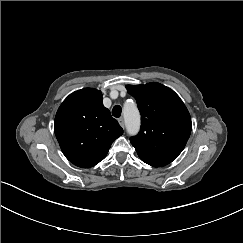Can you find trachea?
<instances>
[{
	"mask_svg": "<svg viewBox=\"0 0 243 243\" xmlns=\"http://www.w3.org/2000/svg\"><path fill=\"white\" fill-rule=\"evenodd\" d=\"M121 106L119 105H116L114 106V108L112 109V115L116 118L120 117L121 116Z\"/></svg>",
	"mask_w": 243,
	"mask_h": 243,
	"instance_id": "obj_1",
	"label": "trachea"
}]
</instances>
